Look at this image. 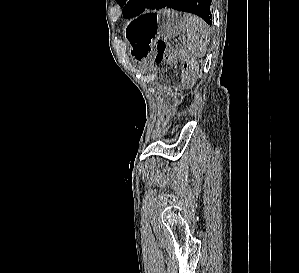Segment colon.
I'll use <instances>...</instances> for the list:
<instances>
[{
	"label": "colon",
	"mask_w": 299,
	"mask_h": 273,
	"mask_svg": "<svg viewBox=\"0 0 299 273\" xmlns=\"http://www.w3.org/2000/svg\"><path fill=\"white\" fill-rule=\"evenodd\" d=\"M155 52V61L157 63H176V50L171 47L166 41L158 40L156 43ZM185 68L188 72L191 71L193 68L192 63H186Z\"/></svg>",
	"instance_id": "obj_1"
}]
</instances>
